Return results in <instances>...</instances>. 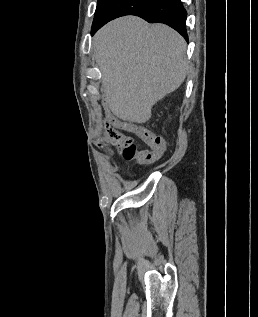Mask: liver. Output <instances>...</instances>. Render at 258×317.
<instances>
[{
    "label": "liver",
    "mask_w": 258,
    "mask_h": 317,
    "mask_svg": "<svg viewBox=\"0 0 258 317\" xmlns=\"http://www.w3.org/2000/svg\"><path fill=\"white\" fill-rule=\"evenodd\" d=\"M93 46L109 108L122 120L146 122L186 78V42L167 24L121 16L96 32Z\"/></svg>",
    "instance_id": "obj_1"
}]
</instances>
